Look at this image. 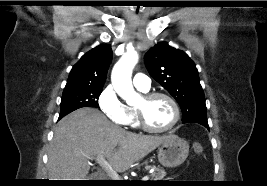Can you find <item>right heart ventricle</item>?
Instances as JSON below:
<instances>
[{"label":"right heart ventricle","mask_w":267,"mask_h":186,"mask_svg":"<svg viewBox=\"0 0 267 186\" xmlns=\"http://www.w3.org/2000/svg\"><path fill=\"white\" fill-rule=\"evenodd\" d=\"M140 91L147 92L145 90L139 89ZM125 121L126 125H129L133 128H137L138 125V119L136 115V109L131 106H125Z\"/></svg>","instance_id":"e07e8e85"}]
</instances>
